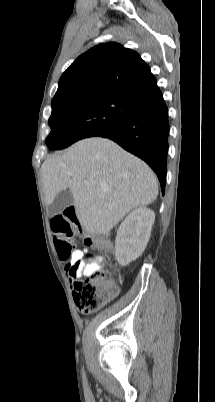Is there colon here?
<instances>
[{
	"instance_id": "1",
	"label": "colon",
	"mask_w": 215,
	"mask_h": 402,
	"mask_svg": "<svg viewBox=\"0 0 215 402\" xmlns=\"http://www.w3.org/2000/svg\"><path fill=\"white\" fill-rule=\"evenodd\" d=\"M51 229L57 254L63 260H71L73 251L71 238L75 233L85 236V242L88 245H95L104 250L111 247V242L107 237H90L84 234L74 209H66L54 215L51 219ZM81 264L98 265V268L87 280H78L74 284L76 304L85 313H93L112 299L116 290L110 281L111 273L103 267V260L100 256L91 253L82 254L71 269L74 271Z\"/></svg>"
}]
</instances>
